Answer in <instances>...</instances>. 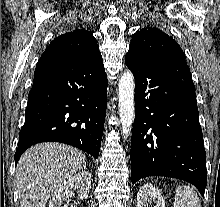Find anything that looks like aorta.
Listing matches in <instances>:
<instances>
[{
  "mask_svg": "<svg viewBox=\"0 0 220 207\" xmlns=\"http://www.w3.org/2000/svg\"><path fill=\"white\" fill-rule=\"evenodd\" d=\"M135 81L131 71H124L118 83L120 124L124 138L131 133L135 118Z\"/></svg>",
  "mask_w": 220,
  "mask_h": 207,
  "instance_id": "762f6f07",
  "label": "aorta"
}]
</instances>
